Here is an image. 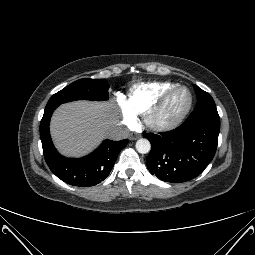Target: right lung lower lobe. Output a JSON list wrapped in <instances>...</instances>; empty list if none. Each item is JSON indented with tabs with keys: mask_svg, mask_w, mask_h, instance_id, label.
<instances>
[{
	"mask_svg": "<svg viewBox=\"0 0 255 255\" xmlns=\"http://www.w3.org/2000/svg\"><path fill=\"white\" fill-rule=\"evenodd\" d=\"M57 106L46 107L40 123L45 161L50 170L62 181L79 187L94 186L108 177L119 152L127 145L128 140H105L91 154L79 159L61 156L55 149L50 133L49 123Z\"/></svg>",
	"mask_w": 255,
	"mask_h": 255,
	"instance_id": "1",
	"label": "right lung lower lobe"
}]
</instances>
